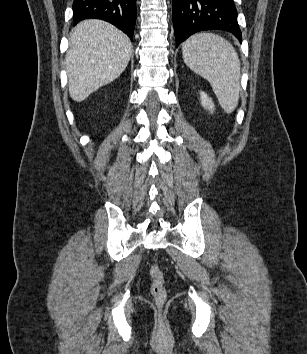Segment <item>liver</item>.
<instances>
[{
	"label": "liver",
	"instance_id": "6515ba94",
	"mask_svg": "<svg viewBox=\"0 0 307 354\" xmlns=\"http://www.w3.org/2000/svg\"><path fill=\"white\" fill-rule=\"evenodd\" d=\"M132 43L113 25L97 19L80 22L69 39L65 57L70 97L81 102L125 70Z\"/></svg>",
	"mask_w": 307,
	"mask_h": 354
}]
</instances>
